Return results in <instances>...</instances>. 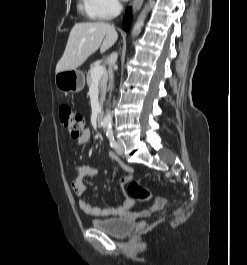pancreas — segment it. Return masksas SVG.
I'll return each instance as SVG.
<instances>
[{
  "label": "pancreas",
  "mask_w": 247,
  "mask_h": 265,
  "mask_svg": "<svg viewBox=\"0 0 247 265\" xmlns=\"http://www.w3.org/2000/svg\"><path fill=\"white\" fill-rule=\"evenodd\" d=\"M98 66L97 64H93L87 74V85L90 86L93 82V79L91 77V72L94 67ZM106 87H107V77L104 75L102 78L99 79V89L101 92V97L100 100L101 102L104 100L105 97V92H106Z\"/></svg>",
  "instance_id": "cf45deb5"
}]
</instances>
